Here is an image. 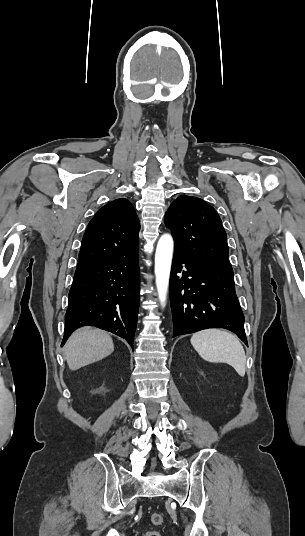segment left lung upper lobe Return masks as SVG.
Listing matches in <instances>:
<instances>
[{
    "label": "left lung upper lobe",
    "mask_w": 305,
    "mask_h": 536,
    "mask_svg": "<svg viewBox=\"0 0 305 536\" xmlns=\"http://www.w3.org/2000/svg\"><path fill=\"white\" fill-rule=\"evenodd\" d=\"M164 221L174 238L175 251L194 260L232 268L222 221L204 200L179 196L170 205Z\"/></svg>",
    "instance_id": "5c2ea615"
}]
</instances>
